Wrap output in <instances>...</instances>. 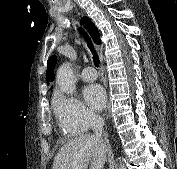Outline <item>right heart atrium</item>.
<instances>
[{"mask_svg": "<svg viewBox=\"0 0 177 169\" xmlns=\"http://www.w3.org/2000/svg\"><path fill=\"white\" fill-rule=\"evenodd\" d=\"M53 108L61 129L73 136L86 131L98 118L78 98L62 93L55 95Z\"/></svg>", "mask_w": 177, "mask_h": 169, "instance_id": "right-heart-atrium-1", "label": "right heart atrium"}]
</instances>
